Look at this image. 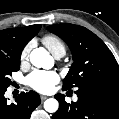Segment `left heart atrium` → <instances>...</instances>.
Here are the masks:
<instances>
[{"label": "left heart atrium", "instance_id": "obj_1", "mask_svg": "<svg viewBox=\"0 0 119 119\" xmlns=\"http://www.w3.org/2000/svg\"><path fill=\"white\" fill-rule=\"evenodd\" d=\"M58 80L59 76L54 71L35 70L26 78V84L36 91L49 92Z\"/></svg>", "mask_w": 119, "mask_h": 119}]
</instances>
